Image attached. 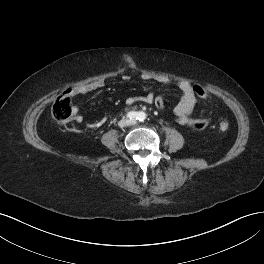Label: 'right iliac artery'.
<instances>
[{"mask_svg": "<svg viewBox=\"0 0 264 264\" xmlns=\"http://www.w3.org/2000/svg\"><path fill=\"white\" fill-rule=\"evenodd\" d=\"M127 118L132 119V120H137L138 119V113L135 111L128 112Z\"/></svg>", "mask_w": 264, "mask_h": 264, "instance_id": "82829eb1", "label": "right iliac artery"}]
</instances>
